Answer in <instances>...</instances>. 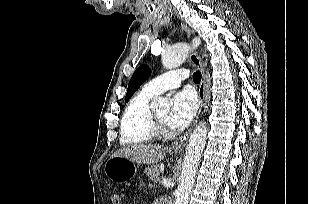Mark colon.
Listing matches in <instances>:
<instances>
[{
    "instance_id": "colon-1",
    "label": "colon",
    "mask_w": 309,
    "mask_h": 204,
    "mask_svg": "<svg viewBox=\"0 0 309 204\" xmlns=\"http://www.w3.org/2000/svg\"><path fill=\"white\" fill-rule=\"evenodd\" d=\"M112 204H121V195L117 192L113 193L111 196Z\"/></svg>"
}]
</instances>
